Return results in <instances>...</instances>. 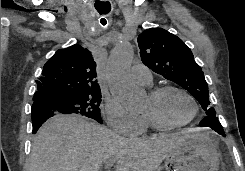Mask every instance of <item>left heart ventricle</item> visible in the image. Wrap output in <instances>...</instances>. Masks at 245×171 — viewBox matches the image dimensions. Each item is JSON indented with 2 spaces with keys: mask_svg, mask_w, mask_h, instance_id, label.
Instances as JSON below:
<instances>
[{
  "mask_svg": "<svg viewBox=\"0 0 245 171\" xmlns=\"http://www.w3.org/2000/svg\"><path fill=\"white\" fill-rule=\"evenodd\" d=\"M192 110L189 100L177 91H167L156 100L148 96L144 106V112H152L162 121L174 124L187 120Z\"/></svg>",
  "mask_w": 245,
  "mask_h": 171,
  "instance_id": "obj_1",
  "label": "left heart ventricle"
}]
</instances>
